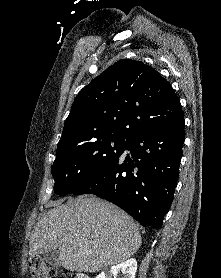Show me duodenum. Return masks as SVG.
Returning <instances> with one entry per match:
<instances>
[{
    "mask_svg": "<svg viewBox=\"0 0 221 278\" xmlns=\"http://www.w3.org/2000/svg\"><path fill=\"white\" fill-rule=\"evenodd\" d=\"M78 278H89L86 274L80 273L78 274Z\"/></svg>",
    "mask_w": 221,
    "mask_h": 278,
    "instance_id": "1",
    "label": "duodenum"
}]
</instances>
